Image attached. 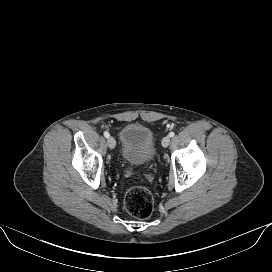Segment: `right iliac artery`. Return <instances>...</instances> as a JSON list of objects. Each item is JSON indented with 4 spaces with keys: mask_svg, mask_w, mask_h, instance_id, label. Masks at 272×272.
Wrapping results in <instances>:
<instances>
[{
    "mask_svg": "<svg viewBox=\"0 0 272 272\" xmlns=\"http://www.w3.org/2000/svg\"><path fill=\"white\" fill-rule=\"evenodd\" d=\"M104 136H105L106 138H109L110 135H109V133H108L107 131H105V132H104Z\"/></svg>",
    "mask_w": 272,
    "mask_h": 272,
    "instance_id": "82829eb1",
    "label": "right iliac artery"
}]
</instances>
